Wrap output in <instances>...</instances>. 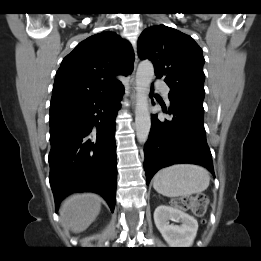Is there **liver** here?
I'll list each match as a JSON object with an SVG mask.
<instances>
[{
    "label": "liver",
    "mask_w": 261,
    "mask_h": 261,
    "mask_svg": "<svg viewBox=\"0 0 261 261\" xmlns=\"http://www.w3.org/2000/svg\"><path fill=\"white\" fill-rule=\"evenodd\" d=\"M101 210V198L92 193L75 194L61 206L62 222L74 233L86 230Z\"/></svg>",
    "instance_id": "liver-1"
}]
</instances>
